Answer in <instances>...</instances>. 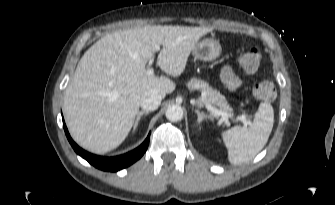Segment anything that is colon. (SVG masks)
<instances>
[{
    "label": "colon",
    "mask_w": 335,
    "mask_h": 205,
    "mask_svg": "<svg viewBox=\"0 0 335 205\" xmlns=\"http://www.w3.org/2000/svg\"><path fill=\"white\" fill-rule=\"evenodd\" d=\"M260 62L261 54L255 48L244 51L239 57L240 67L245 73L251 75L257 73L260 67ZM253 93L256 98L268 101L275 98L276 88L272 81L262 80L254 86Z\"/></svg>",
    "instance_id": "1"
}]
</instances>
